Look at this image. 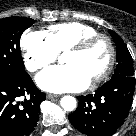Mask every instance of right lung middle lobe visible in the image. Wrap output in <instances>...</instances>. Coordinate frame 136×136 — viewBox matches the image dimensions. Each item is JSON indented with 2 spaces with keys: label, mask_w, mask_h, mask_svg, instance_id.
Segmentation results:
<instances>
[{
  "label": "right lung middle lobe",
  "mask_w": 136,
  "mask_h": 136,
  "mask_svg": "<svg viewBox=\"0 0 136 136\" xmlns=\"http://www.w3.org/2000/svg\"><path fill=\"white\" fill-rule=\"evenodd\" d=\"M33 19L7 17L0 19V81L14 80L25 74L19 42Z\"/></svg>",
  "instance_id": "right-lung-middle-lobe-1"
}]
</instances>
